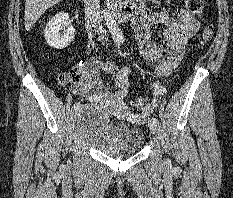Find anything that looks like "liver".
Wrapping results in <instances>:
<instances>
[{"label": "liver", "mask_w": 233, "mask_h": 198, "mask_svg": "<svg viewBox=\"0 0 233 198\" xmlns=\"http://www.w3.org/2000/svg\"><path fill=\"white\" fill-rule=\"evenodd\" d=\"M62 0H26L25 30L29 31L44 12Z\"/></svg>", "instance_id": "6515ba94"}]
</instances>
